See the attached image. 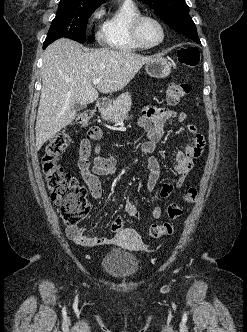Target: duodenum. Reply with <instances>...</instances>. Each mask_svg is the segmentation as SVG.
I'll return each instance as SVG.
<instances>
[{
	"mask_svg": "<svg viewBox=\"0 0 247 332\" xmlns=\"http://www.w3.org/2000/svg\"><path fill=\"white\" fill-rule=\"evenodd\" d=\"M108 105L109 103L107 100L101 99L96 103L95 110L97 113H103L108 108Z\"/></svg>",
	"mask_w": 247,
	"mask_h": 332,
	"instance_id": "410a0bca",
	"label": "duodenum"
}]
</instances>
